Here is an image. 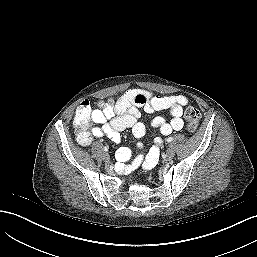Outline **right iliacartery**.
Wrapping results in <instances>:
<instances>
[{
    "instance_id": "right-iliac-artery-1",
    "label": "right iliac artery",
    "mask_w": 257,
    "mask_h": 257,
    "mask_svg": "<svg viewBox=\"0 0 257 257\" xmlns=\"http://www.w3.org/2000/svg\"><path fill=\"white\" fill-rule=\"evenodd\" d=\"M108 149H109V148H108L107 146L104 147V151H108Z\"/></svg>"
}]
</instances>
